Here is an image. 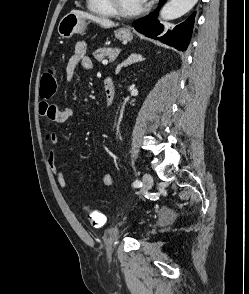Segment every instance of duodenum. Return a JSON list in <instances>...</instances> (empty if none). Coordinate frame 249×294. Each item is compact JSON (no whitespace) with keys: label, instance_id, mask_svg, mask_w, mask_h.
Here are the masks:
<instances>
[{"label":"duodenum","instance_id":"1","mask_svg":"<svg viewBox=\"0 0 249 294\" xmlns=\"http://www.w3.org/2000/svg\"><path fill=\"white\" fill-rule=\"evenodd\" d=\"M105 87V108H109L115 97V86L111 79L104 80Z\"/></svg>","mask_w":249,"mask_h":294}]
</instances>
